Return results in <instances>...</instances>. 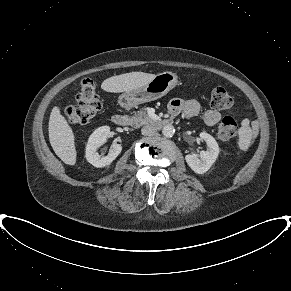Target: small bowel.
Masks as SVG:
<instances>
[{
  "label": "small bowel",
  "instance_id": "small-bowel-1",
  "mask_svg": "<svg viewBox=\"0 0 291 291\" xmlns=\"http://www.w3.org/2000/svg\"><path fill=\"white\" fill-rule=\"evenodd\" d=\"M169 111L173 114L182 113L190 119L197 116L201 111V105L197 100L173 99L169 103ZM221 113L216 110H206L203 114L204 122L207 126L213 127L221 120Z\"/></svg>",
  "mask_w": 291,
  "mask_h": 291
}]
</instances>
